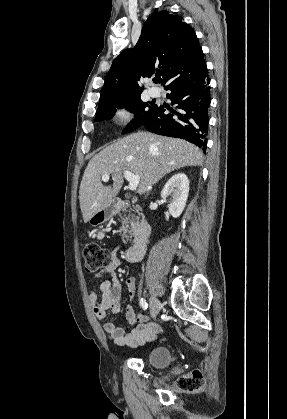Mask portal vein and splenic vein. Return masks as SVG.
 I'll use <instances>...</instances> for the list:
<instances>
[{
  "label": "portal vein and splenic vein",
  "mask_w": 287,
  "mask_h": 419,
  "mask_svg": "<svg viewBox=\"0 0 287 419\" xmlns=\"http://www.w3.org/2000/svg\"><path fill=\"white\" fill-rule=\"evenodd\" d=\"M123 174H124V177L126 178V180L129 182V189L131 191L136 190V188H137V186L139 185V182H140V176L138 174H134V173H132L130 171H127V170L124 171ZM109 178H110L109 174H104L102 176V181L103 182H108Z\"/></svg>",
  "instance_id": "portal-vein-and-splenic-vein-1"
}]
</instances>
